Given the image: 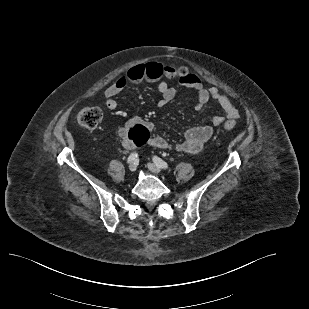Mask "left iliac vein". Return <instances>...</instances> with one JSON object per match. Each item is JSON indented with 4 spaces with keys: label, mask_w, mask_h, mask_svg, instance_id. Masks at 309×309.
Segmentation results:
<instances>
[{
    "label": "left iliac vein",
    "mask_w": 309,
    "mask_h": 309,
    "mask_svg": "<svg viewBox=\"0 0 309 309\" xmlns=\"http://www.w3.org/2000/svg\"><path fill=\"white\" fill-rule=\"evenodd\" d=\"M148 169L154 174H160L161 173L160 168L153 163H148Z\"/></svg>",
    "instance_id": "4c4485c4"
}]
</instances>
